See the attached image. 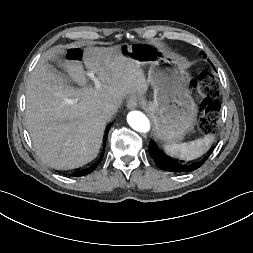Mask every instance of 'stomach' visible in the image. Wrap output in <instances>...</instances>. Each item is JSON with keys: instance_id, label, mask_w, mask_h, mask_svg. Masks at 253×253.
<instances>
[{"instance_id": "1", "label": "stomach", "mask_w": 253, "mask_h": 253, "mask_svg": "<svg viewBox=\"0 0 253 253\" xmlns=\"http://www.w3.org/2000/svg\"><path fill=\"white\" fill-rule=\"evenodd\" d=\"M122 52L140 66L150 64L148 82L154 89V100L146 104L156 130V137L166 144H176L191 132L197 118V107L187 89L189 76L178 60L161 55L145 44L122 45Z\"/></svg>"}]
</instances>
